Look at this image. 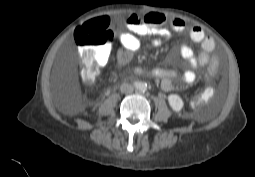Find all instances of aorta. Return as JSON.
<instances>
[{
    "label": "aorta",
    "mask_w": 255,
    "mask_h": 177,
    "mask_svg": "<svg viewBox=\"0 0 255 177\" xmlns=\"http://www.w3.org/2000/svg\"><path fill=\"white\" fill-rule=\"evenodd\" d=\"M140 89H141V90H145V86H144V85L141 86Z\"/></svg>",
    "instance_id": "obj_1"
}]
</instances>
